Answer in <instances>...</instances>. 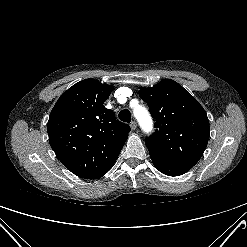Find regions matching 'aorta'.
<instances>
[{"label":"aorta","instance_id":"aorta-1","mask_svg":"<svg viewBox=\"0 0 247 247\" xmlns=\"http://www.w3.org/2000/svg\"><path fill=\"white\" fill-rule=\"evenodd\" d=\"M142 114L138 116L139 123L143 130L148 131L151 129L152 123L151 119L144 108H141Z\"/></svg>","mask_w":247,"mask_h":247}]
</instances>
